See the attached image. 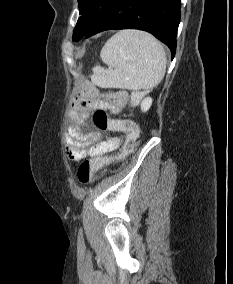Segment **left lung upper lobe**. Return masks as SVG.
<instances>
[{
  "label": "left lung upper lobe",
  "instance_id": "obj_1",
  "mask_svg": "<svg viewBox=\"0 0 233 284\" xmlns=\"http://www.w3.org/2000/svg\"><path fill=\"white\" fill-rule=\"evenodd\" d=\"M79 13L82 16L78 19L73 31V40L81 39L91 28L101 7L107 0H78Z\"/></svg>",
  "mask_w": 233,
  "mask_h": 284
}]
</instances>
